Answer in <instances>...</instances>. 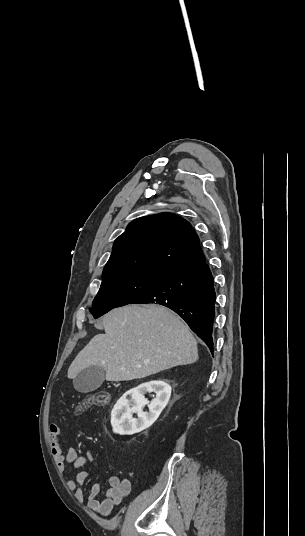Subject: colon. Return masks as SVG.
<instances>
[{
    "mask_svg": "<svg viewBox=\"0 0 305 536\" xmlns=\"http://www.w3.org/2000/svg\"><path fill=\"white\" fill-rule=\"evenodd\" d=\"M109 401V395L106 391H98L95 393L88 394L83 400H81L76 408L75 414L81 415L89 408L93 406H101L107 404Z\"/></svg>",
    "mask_w": 305,
    "mask_h": 536,
    "instance_id": "colon-1",
    "label": "colon"
}]
</instances>
